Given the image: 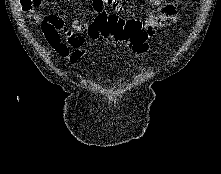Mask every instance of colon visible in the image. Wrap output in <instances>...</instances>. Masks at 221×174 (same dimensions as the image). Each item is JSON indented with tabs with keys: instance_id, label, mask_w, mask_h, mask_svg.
<instances>
[{
	"instance_id": "5ec220e1",
	"label": "colon",
	"mask_w": 221,
	"mask_h": 174,
	"mask_svg": "<svg viewBox=\"0 0 221 174\" xmlns=\"http://www.w3.org/2000/svg\"><path fill=\"white\" fill-rule=\"evenodd\" d=\"M42 0H20L22 10L31 16L40 6ZM94 40L112 39L117 43H125L136 55L144 56L149 50L148 35L143 24L136 19L100 14L96 16L87 31Z\"/></svg>"
}]
</instances>
